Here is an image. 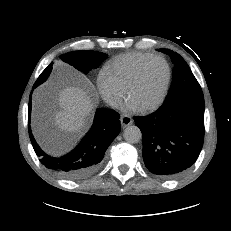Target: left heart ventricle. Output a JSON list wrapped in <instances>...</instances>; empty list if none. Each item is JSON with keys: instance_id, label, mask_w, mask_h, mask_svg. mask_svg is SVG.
<instances>
[{"instance_id": "obj_1", "label": "left heart ventricle", "mask_w": 231, "mask_h": 231, "mask_svg": "<svg viewBox=\"0 0 231 231\" xmlns=\"http://www.w3.org/2000/svg\"><path fill=\"white\" fill-rule=\"evenodd\" d=\"M166 67L160 60L151 61L143 71L138 84L132 90L129 99L144 107L154 102L164 85Z\"/></svg>"}]
</instances>
